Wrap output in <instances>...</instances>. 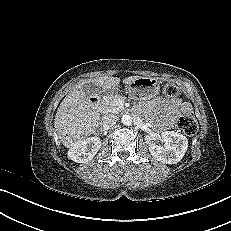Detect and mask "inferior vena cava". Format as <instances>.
Here are the masks:
<instances>
[{"label": "inferior vena cava", "mask_w": 231, "mask_h": 231, "mask_svg": "<svg viewBox=\"0 0 231 231\" xmlns=\"http://www.w3.org/2000/svg\"><path fill=\"white\" fill-rule=\"evenodd\" d=\"M118 121V116L115 114H107L103 117V128L108 129L112 126H114Z\"/></svg>", "instance_id": "inferior-vena-cava-1"}]
</instances>
